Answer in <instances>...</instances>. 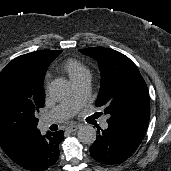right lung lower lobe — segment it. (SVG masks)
I'll list each match as a JSON object with an SVG mask.
<instances>
[{"label": "right lung lower lobe", "instance_id": "right-lung-lower-lobe-1", "mask_svg": "<svg viewBox=\"0 0 171 171\" xmlns=\"http://www.w3.org/2000/svg\"><path fill=\"white\" fill-rule=\"evenodd\" d=\"M63 138V131H48L44 136L38 131L13 161L26 170L45 171L55 164Z\"/></svg>", "mask_w": 171, "mask_h": 171}]
</instances>
